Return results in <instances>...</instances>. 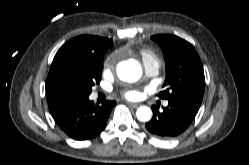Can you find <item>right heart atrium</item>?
<instances>
[{
  "instance_id": "obj_1",
  "label": "right heart atrium",
  "mask_w": 249,
  "mask_h": 165,
  "mask_svg": "<svg viewBox=\"0 0 249 165\" xmlns=\"http://www.w3.org/2000/svg\"><path fill=\"white\" fill-rule=\"evenodd\" d=\"M108 66H109V62H106V63H105V67H108Z\"/></svg>"
}]
</instances>
